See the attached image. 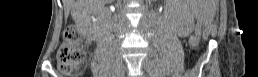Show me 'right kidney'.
Segmentation results:
<instances>
[{
    "instance_id": "1",
    "label": "right kidney",
    "mask_w": 258,
    "mask_h": 77,
    "mask_svg": "<svg viewBox=\"0 0 258 77\" xmlns=\"http://www.w3.org/2000/svg\"><path fill=\"white\" fill-rule=\"evenodd\" d=\"M102 4L103 3H100V4H89V5L85 6V7L79 8V10L86 9L88 11L89 9H91L94 12V15L96 16L97 14L99 15V14H101L103 12V8L101 7ZM79 25L81 27L83 35L88 38V36H89V34H88V24L84 23V22H81Z\"/></svg>"
}]
</instances>
